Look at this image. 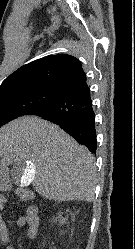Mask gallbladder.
I'll use <instances>...</instances> for the list:
<instances>
[{"mask_svg":"<svg viewBox=\"0 0 135 249\" xmlns=\"http://www.w3.org/2000/svg\"><path fill=\"white\" fill-rule=\"evenodd\" d=\"M24 168H25V164H24V163H23V164L15 163V164L13 165L12 170H11V175H12V177H14V176L17 175V174H19L20 177H21V176L23 175ZM2 183H3V184H6L7 181L0 179V184H2Z\"/></svg>","mask_w":135,"mask_h":249,"instance_id":"obj_1","label":"gallbladder"}]
</instances>
